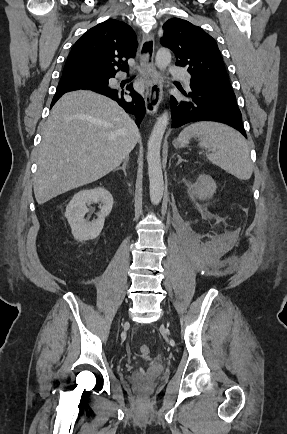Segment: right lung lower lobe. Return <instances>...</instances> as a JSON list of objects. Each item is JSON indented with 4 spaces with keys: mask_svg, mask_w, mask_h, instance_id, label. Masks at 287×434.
I'll list each match as a JSON object with an SVG mask.
<instances>
[{
    "mask_svg": "<svg viewBox=\"0 0 287 434\" xmlns=\"http://www.w3.org/2000/svg\"><path fill=\"white\" fill-rule=\"evenodd\" d=\"M77 89H88L105 95L113 100H115L126 112L134 114L136 116V124L140 126V123L145 114L144 99L138 94L133 88L132 84L127 86L130 91V96L132 101H127L124 98V93L115 89H111L107 85L91 84V83H59L57 86L56 94L52 100L51 106H53L56 101L65 93Z\"/></svg>",
    "mask_w": 287,
    "mask_h": 434,
    "instance_id": "98d812e1",
    "label": "right lung lower lobe"
}]
</instances>
